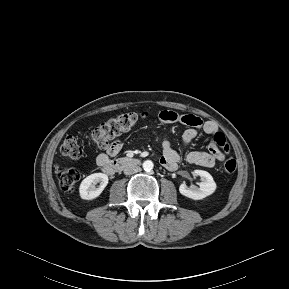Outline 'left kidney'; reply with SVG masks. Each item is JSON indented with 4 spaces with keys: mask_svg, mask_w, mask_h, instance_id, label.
I'll return each mask as SVG.
<instances>
[{
    "mask_svg": "<svg viewBox=\"0 0 289 289\" xmlns=\"http://www.w3.org/2000/svg\"><path fill=\"white\" fill-rule=\"evenodd\" d=\"M194 173L201 177L199 187H188L186 184H181L179 187V192L183 196L194 200H200L211 195L216 190V183L213 180V177L207 171L203 170H194Z\"/></svg>",
    "mask_w": 289,
    "mask_h": 289,
    "instance_id": "1",
    "label": "left kidney"
}]
</instances>
